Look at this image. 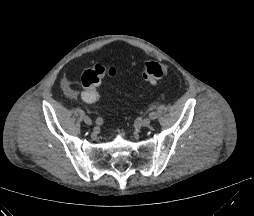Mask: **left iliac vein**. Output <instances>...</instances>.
<instances>
[{
	"instance_id": "left-iliac-vein-1",
	"label": "left iliac vein",
	"mask_w": 254,
	"mask_h": 216,
	"mask_svg": "<svg viewBox=\"0 0 254 216\" xmlns=\"http://www.w3.org/2000/svg\"><path fill=\"white\" fill-rule=\"evenodd\" d=\"M150 123H151L150 118H145V119L142 120L141 125L143 127H148L150 125Z\"/></svg>"
}]
</instances>
